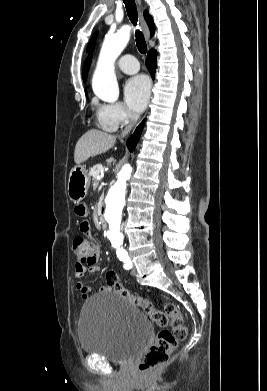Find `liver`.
<instances>
[{
    "mask_svg": "<svg viewBox=\"0 0 267 391\" xmlns=\"http://www.w3.org/2000/svg\"><path fill=\"white\" fill-rule=\"evenodd\" d=\"M115 143V136L96 129L89 130L76 143L74 161L79 165L91 157L107 152Z\"/></svg>",
    "mask_w": 267,
    "mask_h": 391,
    "instance_id": "liver-1",
    "label": "liver"
}]
</instances>
